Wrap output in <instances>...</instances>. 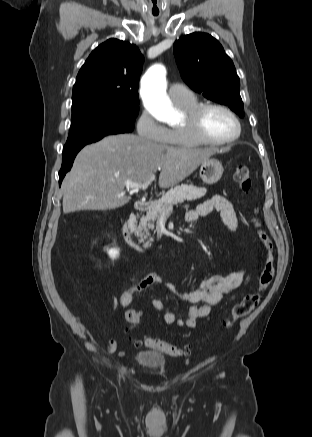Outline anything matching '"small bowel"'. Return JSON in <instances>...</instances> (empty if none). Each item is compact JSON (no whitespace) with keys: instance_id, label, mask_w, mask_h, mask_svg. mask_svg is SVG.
Masks as SVG:
<instances>
[{"instance_id":"obj_1","label":"small bowel","mask_w":312,"mask_h":437,"mask_svg":"<svg viewBox=\"0 0 312 437\" xmlns=\"http://www.w3.org/2000/svg\"><path fill=\"white\" fill-rule=\"evenodd\" d=\"M213 210L220 213L222 221L230 231L237 229L238 219L233 203L219 194L203 201L196 209L186 212L185 220L188 223L195 222L199 217L205 216ZM243 278L244 271L238 269L227 275L208 277L201 281L196 289L183 292L179 291L172 284L164 283L159 274L150 273L145 275L135 285L125 289L120 295L119 304L122 308H127L134 302L138 294L143 293L154 285L164 284L171 293L190 303L191 306L185 319L178 318L172 312H165L163 314V321L168 325H185L188 328H194L198 319L208 316L211 310L220 304L225 294L237 289L242 284ZM152 306L158 312H162L165 309L164 302L160 299H153ZM106 348L109 352H114L117 348L116 341L109 340L106 343Z\"/></svg>"}]
</instances>
